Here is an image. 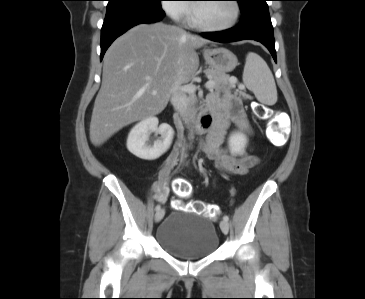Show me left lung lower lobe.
<instances>
[{
    "label": "left lung lower lobe",
    "mask_w": 365,
    "mask_h": 299,
    "mask_svg": "<svg viewBox=\"0 0 365 299\" xmlns=\"http://www.w3.org/2000/svg\"><path fill=\"white\" fill-rule=\"evenodd\" d=\"M241 12V21L237 27L220 32L202 33V36L223 43L240 40L261 42L276 61L273 27L266 0L255 2L241 9Z\"/></svg>",
    "instance_id": "0a47b994"
}]
</instances>
